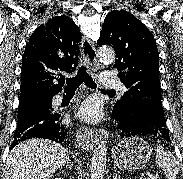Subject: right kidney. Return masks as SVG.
Here are the masks:
<instances>
[{"label":"right kidney","mask_w":183,"mask_h":179,"mask_svg":"<svg viewBox=\"0 0 183 179\" xmlns=\"http://www.w3.org/2000/svg\"><path fill=\"white\" fill-rule=\"evenodd\" d=\"M56 179H63V178L59 177V178H56Z\"/></svg>","instance_id":"obj_1"}]
</instances>
